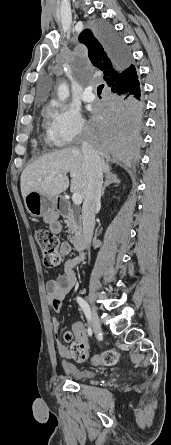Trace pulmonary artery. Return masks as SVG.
Returning <instances> with one entry per match:
<instances>
[{
	"label": "pulmonary artery",
	"mask_w": 171,
	"mask_h": 445,
	"mask_svg": "<svg viewBox=\"0 0 171 445\" xmlns=\"http://www.w3.org/2000/svg\"><path fill=\"white\" fill-rule=\"evenodd\" d=\"M95 96L94 94L91 92L90 88L85 89L83 95H82V100L84 102H92L94 100Z\"/></svg>",
	"instance_id": "pulmonary-artery-1"
}]
</instances>
